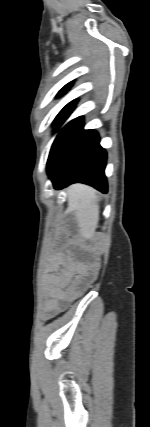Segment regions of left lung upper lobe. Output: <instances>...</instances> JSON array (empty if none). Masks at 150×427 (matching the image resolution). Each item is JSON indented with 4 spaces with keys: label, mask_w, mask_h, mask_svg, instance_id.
Masks as SVG:
<instances>
[{
    "label": "left lung upper lobe",
    "mask_w": 150,
    "mask_h": 427,
    "mask_svg": "<svg viewBox=\"0 0 150 427\" xmlns=\"http://www.w3.org/2000/svg\"><path fill=\"white\" fill-rule=\"evenodd\" d=\"M71 87V83H69V84H67V85H65L61 90H60V92L58 93V95H62V94H64L69 88ZM72 103V102H71ZM71 103H69L67 106H69ZM66 106V107H67ZM65 107V108H66Z\"/></svg>",
    "instance_id": "left-lung-upper-lobe-1"
}]
</instances>
